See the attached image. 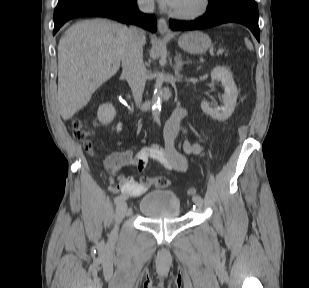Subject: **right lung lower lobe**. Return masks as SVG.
Here are the masks:
<instances>
[{
	"label": "right lung lower lobe",
	"mask_w": 309,
	"mask_h": 288,
	"mask_svg": "<svg viewBox=\"0 0 309 288\" xmlns=\"http://www.w3.org/2000/svg\"><path fill=\"white\" fill-rule=\"evenodd\" d=\"M81 16L107 17L136 24L152 32L157 29L155 18L139 12L136 0H78L63 10L54 12L53 35L66 21Z\"/></svg>",
	"instance_id": "obj_1"
}]
</instances>
